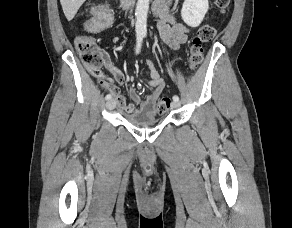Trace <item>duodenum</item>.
<instances>
[{
	"mask_svg": "<svg viewBox=\"0 0 292 228\" xmlns=\"http://www.w3.org/2000/svg\"><path fill=\"white\" fill-rule=\"evenodd\" d=\"M119 1L122 8H128L130 5V0H119Z\"/></svg>",
	"mask_w": 292,
	"mask_h": 228,
	"instance_id": "410a0bca",
	"label": "duodenum"
}]
</instances>
